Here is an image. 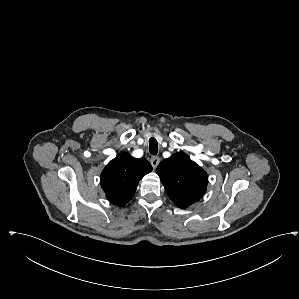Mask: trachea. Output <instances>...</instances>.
Instances as JSON below:
<instances>
[{"mask_svg": "<svg viewBox=\"0 0 299 299\" xmlns=\"http://www.w3.org/2000/svg\"><path fill=\"white\" fill-rule=\"evenodd\" d=\"M149 151L152 155H156L158 153V142L155 138L149 139Z\"/></svg>", "mask_w": 299, "mask_h": 299, "instance_id": "obj_1", "label": "trachea"}]
</instances>
